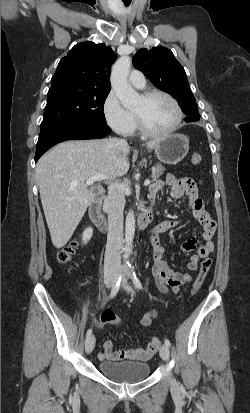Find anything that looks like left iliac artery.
Segmentation results:
<instances>
[{"instance_id":"44dca946","label":"left iliac artery","mask_w":250,"mask_h":413,"mask_svg":"<svg viewBox=\"0 0 250 413\" xmlns=\"http://www.w3.org/2000/svg\"><path fill=\"white\" fill-rule=\"evenodd\" d=\"M132 279H133V283H134L135 287L137 289H142V284H141L139 278L136 276L135 272H133ZM165 345L167 347L171 346V343H170L169 339H165Z\"/></svg>"}]
</instances>
